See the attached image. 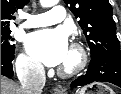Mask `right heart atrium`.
I'll list each match as a JSON object with an SVG mask.
<instances>
[{"mask_svg":"<svg viewBox=\"0 0 121 94\" xmlns=\"http://www.w3.org/2000/svg\"><path fill=\"white\" fill-rule=\"evenodd\" d=\"M16 71L21 78H36L43 73L42 66L25 53L18 56L16 61Z\"/></svg>","mask_w":121,"mask_h":94,"instance_id":"right-heart-atrium-1","label":"right heart atrium"}]
</instances>
